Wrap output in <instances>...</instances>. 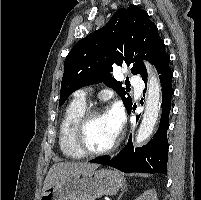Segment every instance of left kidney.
<instances>
[{"mask_svg":"<svg viewBox=\"0 0 201 200\" xmlns=\"http://www.w3.org/2000/svg\"><path fill=\"white\" fill-rule=\"evenodd\" d=\"M135 200H158L157 193L155 189H149L145 191L142 195H140Z\"/></svg>","mask_w":201,"mask_h":200,"instance_id":"1","label":"left kidney"}]
</instances>
